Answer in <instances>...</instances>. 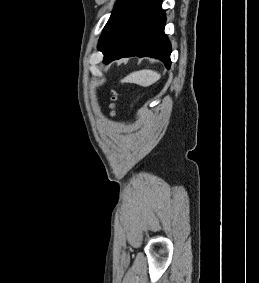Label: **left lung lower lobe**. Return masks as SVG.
<instances>
[{"instance_id":"obj_1","label":"left lung lower lobe","mask_w":259,"mask_h":283,"mask_svg":"<svg viewBox=\"0 0 259 283\" xmlns=\"http://www.w3.org/2000/svg\"><path fill=\"white\" fill-rule=\"evenodd\" d=\"M162 0H124L105 26L98 44L103 62L122 57H154L170 67L171 44L164 33Z\"/></svg>"}]
</instances>
